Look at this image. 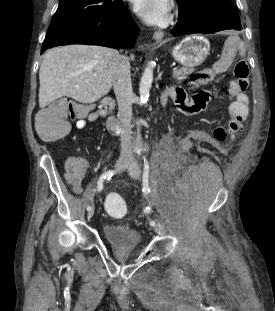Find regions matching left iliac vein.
Returning <instances> with one entry per match:
<instances>
[{
	"mask_svg": "<svg viewBox=\"0 0 275 311\" xmlns=\"http://www.w3.org/2000/svg\"><path fill=\"white\" fill-rule=\"evenodd\" d=\"M127 170L130 174V176L134 179V180H139L141 177V169L137 163V161L133 158L131 160L130 165L127 167ZM154 230L156 233L163 235L165 233V229L164 226L160 223L157 222L156 225L154 226Z\"/></svg>",
	"mask_w": 275,
	"mask_h": 311,
	"instance_id": "1",
	"label": "left iliac vein"
}]
</instances>
